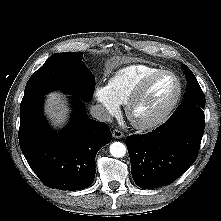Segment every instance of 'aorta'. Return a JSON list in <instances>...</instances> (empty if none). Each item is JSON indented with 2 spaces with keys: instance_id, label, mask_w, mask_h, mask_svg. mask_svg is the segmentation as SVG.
Masks as SVG:
<instances>
[{
  "instance_id": "aorta-1",
  "label": "aorta",
  "mask_w": 221,
  "mask_h": 221,
  "mask_svg": "<svg viewBox=\"0 0 221 221\" xmlns=\"http://www.w3.org/2000/svg\"><path fill=\"white\" fill-rule=\"evenodd\" d=\"M126 146L121 142H113L110 145V153L113 157L122 158L126 154Z\"/></svg>"
}]
</instances>
